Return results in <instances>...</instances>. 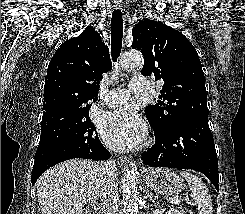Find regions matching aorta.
I'll return each instance as SVG.
<instances>
[{"label":"aorta","mask_w":245,"mask_h":214,"mask_svg":"<svg viewBox=\"0 0 245 214\" xmlns=\"http://www.w3.org/2000/svg\"><path fill=\"white\" fill-rule=\"evenodd\" d=\"M119 65L124 69L141 68L143 66V57L138 51L126 52L121 56ZM137 174V166L135 162L131 161L121 181L126 214H137L138 212L139 195L136 186Z\"/></svg>","instance_id":"762f6f07"}]
</instances>
